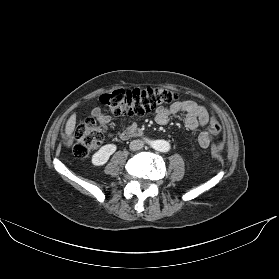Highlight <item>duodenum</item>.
<instances>
[{"instance_id": "obj_1", "label": "duodenum", "mask_w": 279, "mask_h": 279, "mask_svg": "<svg viewBox=\"0 0 279 279\" xmlns=\"http://www.w3.org/2000/svg\"><path fill=\"white\" fill-rule=\"evenodd\" d=\"M126 135H127V137L141 135V131L137 128H133V129L127 130Z\"/></svg>"}]
</instances>
